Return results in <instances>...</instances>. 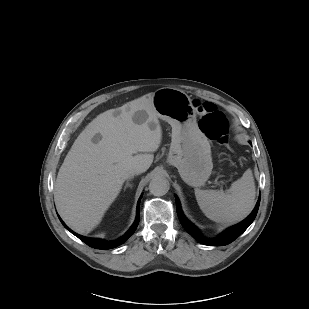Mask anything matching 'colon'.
I'll list each match as a JSON object with an SVG mask.
<instances>
[{
	"instance_id": "1",
	"label": "colon",
	"mask_w": 309,
	"mask_h": 309,
	"mask_svg": "<svg viewBox=\"0 0 309 309\" xmlns=\"http://www.w3.org/2000/svg\"><path fill=\"white\" fill-rule=\"evenodd\" d=\"M194 107L199 116V127L210 139L228 145V127L224 114L208 101L195 100Z\"/></svg>"
}]
</instances>
